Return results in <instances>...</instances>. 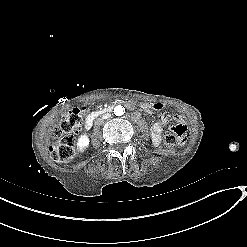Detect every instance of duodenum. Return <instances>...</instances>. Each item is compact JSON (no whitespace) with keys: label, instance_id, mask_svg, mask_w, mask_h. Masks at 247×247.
I'll use <instances>...</instances> for the list:
<instances>
[{"label":"duodenum","instance_id":"obj_1","mask_svg":"<svg viewBox=\"0 0 247 247\" xmlns=\"http://www.w3.org/2000/svg\"><path fill=\"white\" fill-rule=\"evenodd\" d=\"M114 108V105L108 106L104 109L98 110V111H94L91 114L88 115V117L85 120V128L86 129H90L93 124L94 121L101 115L106 114V113H110Z\"/></svg>","mask_w":247,"mask_h":247}]
</instances>
